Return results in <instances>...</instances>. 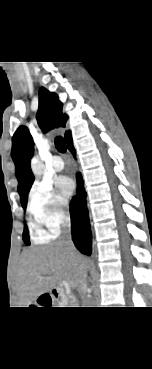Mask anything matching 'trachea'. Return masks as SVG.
<instances>
[{"label":"trachea","instance_id":"1","mask_svg":"<svg viewBox=\"0 0 152 369\" xmlns=\"http://www.w3.org/2000/svg\"><path fill=\"white\" fill-rule=\"evenodd\" d=\"M55 146L56 149L61 152V153H65L66 152V144L65 141L62 137L58 136L55 138Z\"/></svg>","mask_w":152,"mask_h":369}]
</instances>
